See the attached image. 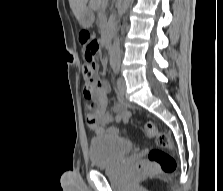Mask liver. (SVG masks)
I'll list each match as a JSON object with an SVG mask.
<instances>
[{"instance_id": "obj_1", "label": "liver", "mask_w": 223, "mask_h": 191, "mask_svg": "<svg viewBox=\"0 0 223 191\" xmlns=\"http://www.w3.org/2000/svg\"><path fill=\"white\" fill-rule=\"evenodd\" d=\"M87 2L88 0H69L70 8L78 21L80 20L81 14L87 7Z\"/></svg>"}]
</instances>
